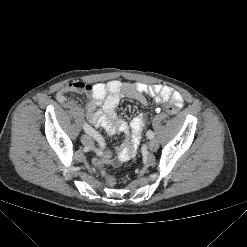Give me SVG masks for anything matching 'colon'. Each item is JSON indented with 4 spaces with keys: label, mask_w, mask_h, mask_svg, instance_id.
Wrapping results in <instances>:
<instances>
[{
    "label": "colon",
    "mask_w": 247,
    "mask_h": 247,
    "mask_svg": "<svg viewBox=\"0 0 247 247\" xmlns=\"http://www.w3.org/2000/svg\"><path fill=\"white\" fill-rule=\"evenodd\" d=\"M164 111L171 115L174 116L177 114V109L174 106L171 105H166L164 107ZM95 167L99 170V172L105 177L106 182L109 186H113L116 183V180L114 177H112L110 174H108V172L105 169V164L103 163V161L101 160H96L94 162Z\"/></svg>",
    "instance_id": "1"
}]
</instances>
